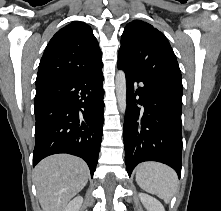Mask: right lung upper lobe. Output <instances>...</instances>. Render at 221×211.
Listing matches in <instances>:
<instances>
[{"instance_id":"cb5924a9","label":"right lung upper lobe","mask_w":221,"mask_h":211,"mask_svg":"<svg viewBox=\"0 0 221 211\" xmlns=\"http://www.w3.org/2000/svg\"><path fill=\"white\" fill-rule=\"evenodd\" d=\"M101 50L89 25L73 21L60 29L41 58L36 89L102 68Z\"/></svg>"}]
</instances>
